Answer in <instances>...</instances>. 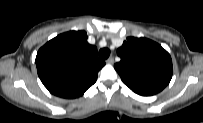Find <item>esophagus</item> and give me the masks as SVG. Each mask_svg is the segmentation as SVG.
<instances>
[{
	"instance_id": "obj_1",
	"label": "esophagus",
	"mask_w": 203,
	"mask_h": 123,
	"mask_svg": "<svg viewBox=\"0 0 203 123\" xmlns=\"http://www.w3.org/2000/svg\"><path fill=\"white\" fill-rule=\"evenodd\" d=\"M106 63H107V64H113V63H114V58H113V57H109V58L106 60Z\"/></svg>"
}]
</instances>
